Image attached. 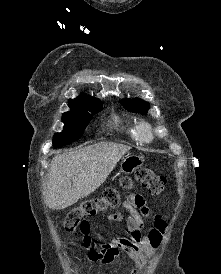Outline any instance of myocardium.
Instances as JSON below:
<instances>
[{
    "label": "myocardium",
    "mask_w": 221,
    "mask_h": 274,
    "mask_svg": "<svg viewBox=\"0 0 221 274\" xmlns=\"http://www.w3.org/2000/svg\"><path fill=\"white\" fill-rule=\"evenodd\" d=\"M138 130L140 138L143 142H150L153 139V132L151 126L148 123H140Z\"/></svg>",
    "instance_id": "obj_1"
}]
</instances>
